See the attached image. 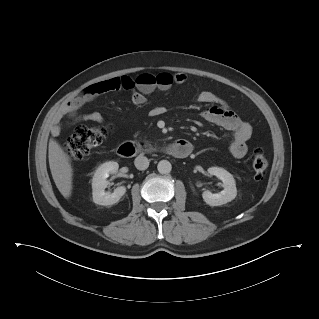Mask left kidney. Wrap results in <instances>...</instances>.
<instances>
[{"label":"left kidney","mask_w":319,"mask_h":319,"mask_svg":"<svg viewBox=\"0 0 319 319\" xmlns=\"http://www.w3.org/2000/svg\"><path fill=\"white\" fill-rule=\"evenodd\" d=\"M208 173L219 178L223 184V190L219 193L212 194L210 191H204L202 197L210 206H220L231 202L237 195L235 180L228 171L220 167L208 168Z\"/></svg>","instance_id":"left-kidney-1"}]
</instances>
